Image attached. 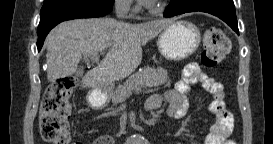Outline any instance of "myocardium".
I'll return each instance as SVG.
<instances>
[{
	"instance_id": "1",
	"label": "myocardium",
	"mask_w": 273,
	"mask_h": 144,
	"mask_svg": "<svg viewBox=\"0 0 273 144\" xmlns=\"http://www.w3.org/2000/svg\"><path fill=\"white\" fill-rule=\"evenodd\" d=\"M169 2L170 0H163L158 2L156 6H147V9L152 13H160L166 8Z\"/></svg>"
}]
</instances>
